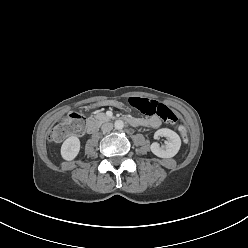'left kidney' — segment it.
<instances>
[{"instance_id":"obj_1","label":"left kidney","mask_w":248,"mask_h":248,"mask_svg":"<svg viewBox=\"0 0 248 248\" xmlns=\"http://www.w3.org/2000/svg\"><path fill=\"white\" fill-rule=\"evenodd\" d=\"M158 137H166L168 141L165 142L164 146H161L158 143H152L150 149L154 155L160 158H171L174 157L180 147H181V139L179 135L168 128H162L155 132L154 138Z\"/></svg>"}]
</instances>
